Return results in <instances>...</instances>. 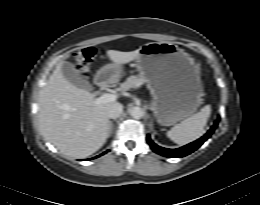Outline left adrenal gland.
Here are the masks:
<instances>
[{"mask_svg": "<svg viewBox=\"0 0 260 205\" xmlns=\"http://www.w3.org/2000/svg\"><path fill=\"white\" fill-rule=\"evenodd\" d=\"M151 127L153 128V124H152V122H151ZM154 133H156V132H154Z\"/></svg>", "mask_w": 260, "mask_h": 205, "instance_id": "a2214340", "label": "left adrenal gland"}]
</instances>
